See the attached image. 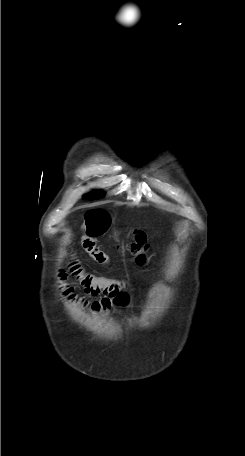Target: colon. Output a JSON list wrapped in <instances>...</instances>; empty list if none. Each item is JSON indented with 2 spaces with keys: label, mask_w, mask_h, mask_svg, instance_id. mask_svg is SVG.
<instances>
[{
  "label": "colon",
  "mask_w": 245,
  "mask_h": 456,
  "mask_svg": "<svg viewBox=\"0 0 245 456\" xmlns=\"http://www.w3.org/2000/svg\"><path fill=\"white\" fill-rule=\"evenodd\" d=\"M147 248L146 236L141 232L136 233L133 241L126 246V250L135 256L138 264L145 263Z\"/></svg>",
  "instance_id": "obj_1"
}]
</instances>
